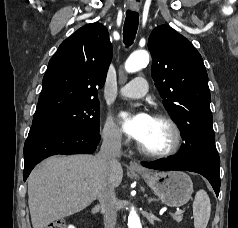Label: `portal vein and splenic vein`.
Returning <instances> with one entry per match:
<instances>
[{
    "label": "portal vein and splenic vein",
    "instance_id": "obj_1",
    "mask_svg": "<svg viewBox=\"0 0 238 228\" xmlns=\"http://www.w3.org/2000/svg\"><path fill=\"white\" fill-rule=\"evenodd\" d=\"M181 213H182L181 210H178V211L175 212V214H181Z\"/></svg>",
    "mask_w": 238,
    "mask_h": 228
}]
</instances>
